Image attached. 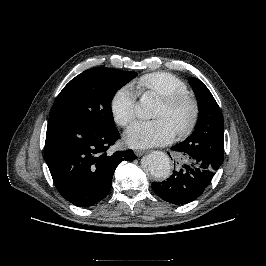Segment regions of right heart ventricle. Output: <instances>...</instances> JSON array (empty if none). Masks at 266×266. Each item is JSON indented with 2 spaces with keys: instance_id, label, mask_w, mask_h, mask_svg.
Returning <instances> with one entry per match:
<instances>
[{
  "instance_id": "e07e8e85",
  "label": "right heart ventricle",
  "mask_w": 266,
  "mask_h": 266,
  "mask_svg": "<svg viewBox=\"0 0 266 266\" xmlns=\"http://www.w3.org/2000/svg\"><path fill=\"white\" fill-rule=\"evenodd\" d=\"M136 87L144 93L163 97L170 94L188 92L187 84L169 72H152L142 75L135 82Z\"/></svg>"
}]
</instances>
